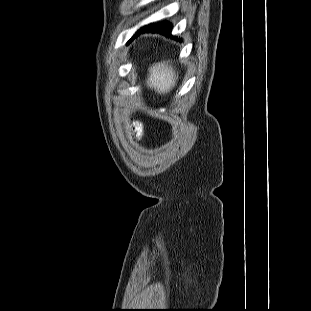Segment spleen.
<instances>
[{"mask_svg":"<svg viewBox=\"0 0 311 311\" xmlns=\"http://www.w3.org/2000/svg\"><path fill=\"white\" fill-rule=\"evenodd\" d=\"M176 75L168 63H157L149 69L147 85L158 93H168L174 86Z\"/></svg>","mask_w":311,"mask_h":311,"instance_id":"1","label":"spleen"}]
</instances>
